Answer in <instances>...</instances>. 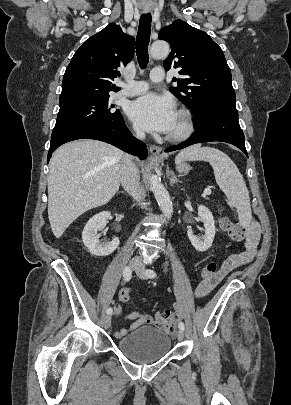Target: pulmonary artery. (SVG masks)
Segmentation results:
<instances>
[{"label": "pulmonary artery", "instance_id": "obj_1", "mask_svg": "<svg viewBox=\"0 0 291 405\" xmlns=\"http://www.w3.org/2000/svg\"><path fill=\"white\" fill-rule=\"evenodd\" d=\"M164 71L162 69H153L150 73V79L153 82H161L164 80ZM149 88L145 81H129L122 84V89L116 93L117 97H131L144 93Z\"/></svg>", "mask_w": 291, "mask_h": 405}]
</instances>
